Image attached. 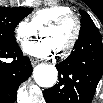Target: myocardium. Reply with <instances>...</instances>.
I'll list each match as a JSON object with an SVG mask.
<instances>
[{
	"label": "myocardium",
	"mask_w": 103,
	"mask_h": 103,
	"mask_svg": "<svg viewBox=\"0 0 103 103\" xmlns=\"http://www.w3.org/2000/svg\"><path fill=\"white\" fill-rule=\"evenodd\" d=\"M69 21L74 22L75 28H74V33L72 35V38L70 39L68 44L57 51L58 54L63 55V56L69 54L74 49L76 43L79 40V37H80V34H81V21H80L79 17L74 13H67V14L61 15L58 18L47 23L41 29V31H42V30L47 29V28L60 27L63 24L69 22Z\"/></svg>",
	"instance_id": "f54148a6"
}]
</instances>
